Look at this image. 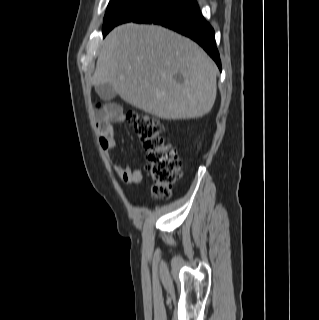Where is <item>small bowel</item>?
Wrapping results in <instances>:
<instances>
[{
  "label": "small bowel",
  "mask_w": 319,
  "mask_h": 320,
  "mask_svg": "<svg viewBox=\"0 0 319 320\" xmlns=\"http://www.w3.org/2000/svg\"><path fill=\"white\" fill-rule=\"evenodd\" d=\"M122 121H124V113L120 106L116 104H107L103 107L97 113L96 117L98 144L110 161L115 175L125 183L138 184L142 180V170L139 167L133 168L129 165H115L111 162L109 157V151L116 146L113 123Z\"/></svg>",
  "instance_id": "1"
}]
</instances>
